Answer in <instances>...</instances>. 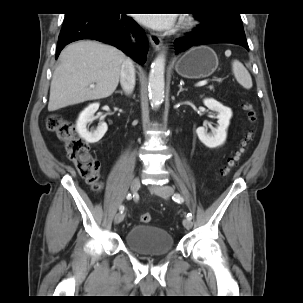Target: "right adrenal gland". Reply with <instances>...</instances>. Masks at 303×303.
I'll use <instances>...</instances> for the list:
<instances>
[{
  "label": "right adrenal gland",
  "instance_id": "1",
  "mask_svg": "<svg viewBox=\"0 0 303 303\" xmlns=\"http://www.w3.org/2000/svg\"><path fill=\"white\" fill-rule=\"evenodd\" d=\"M116 93H120L121 95H123V94H124V92H123V91H116Z\"/></svg>",
  "mask_w": 303,
  "mask_h": 303
}]
</instances>
